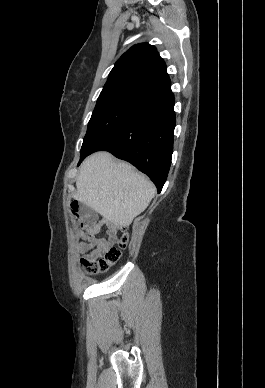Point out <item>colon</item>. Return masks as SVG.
Masks as SVG:
<instances>
[{
    "label": "colon",
    "mask_w": 265,
    "mask_h": 388,
    "mask_svg": "<svg viewBox=\"0 0 265 388\" xmlns=\"http://www.w3.org/2000/svg\"><path fill=\"white\" fill-rule=\"evenodd\" d=\"M71 212L74 216H78L79 213V204L76 201H73L70 206ZM124 229V228H123ZM127 243V235L123 234L118 247H111L108 249L104 257L100 260L90 261L87 259H82L81 263L83 268L87 273L91 275H96L106 271L109 267L115 264L121 257L122 248Z\"/></svg>",
    "instance_id": "5ec220e1"
}]
</instances>
